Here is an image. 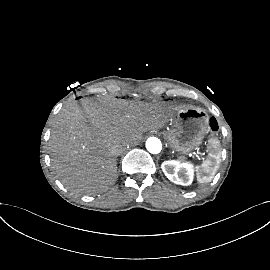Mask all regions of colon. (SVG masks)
<instances>
[{
    "label": "colon",
    "mask_w": 270,
    "mask_h": 270,
    "mask_svg": "<svg viewBox=\"0 0 270 270\" xmlns=\"http://www.w3.org/2000/svg\"><path fill=\"white\" fill-rule=\"evenodd\" d=\"M209 128L212 132H216L218 130V123L214 118L209 120Z\"/></svg>",
    "instance_id": "5ec220e1"
}]
</instances>
